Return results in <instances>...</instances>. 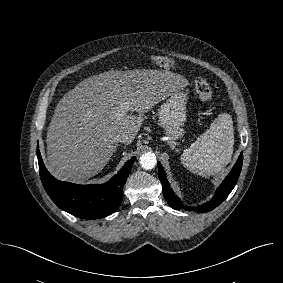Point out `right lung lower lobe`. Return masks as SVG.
I'll return each instance as SVG.
<instances>
[{"instance_id":"1","label":"right lung lower lobe","mask_w":283,"mask_h":283,"mask_svg":"<svg viewBox=\"0 0 283 283\" xmlns=\"http://www.w3.org/2000/svg\"><path fill=\"white\" fill-rule=\"evenodd\" d=\"M42 184L52 201L62 210L83 219H98L115 212L121 202L123 186L132 169L135 157L101 185H78L54 178L46 169L37 147Z\"/></svg>"}]
</instances>
